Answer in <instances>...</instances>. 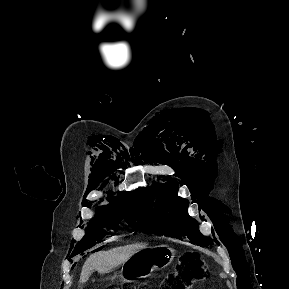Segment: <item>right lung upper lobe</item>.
Here are the masks:
<instances>
[{"label":"right lung upper lobe","instance_id":"obj_1","mask_svg":"<svg viewBox=\"0 0 289 289\" xmlns=\"http://www.w3.org/2000/svg\"><path fill=\"white\" fill-rule=\"evenodd\" d=\"M107 200L110 202L107 206L119 205L121 203H134L136 202L135 193L118 192V196H109Z\"/></svg>","mask_w":289,"mask_h":289}]
</instances>
